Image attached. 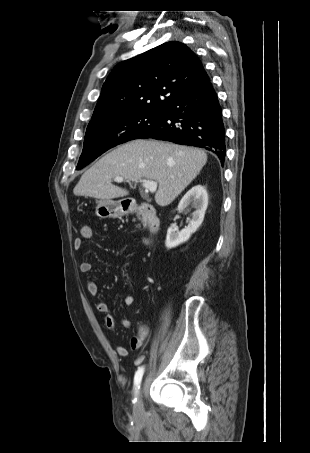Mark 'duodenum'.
I'll use <instances>...</instances> for the list:
<instances>
[{
    "mask_svg": "<svg viewBox=\"0 0 310 453\" xmlns=\"http://www.w3.org/2000/svg\"><path fill=\"white\" fill-rule=\"evenodd\" d=\"M126 212L128 214H138L146 225V228L151 234H155L160 226V220L155 209L150 204H142L140 207H129Z\"/></svg>",
    "mask_w": 310,
    "mask_h": 453,
    "instance_id": "410a0bca",
    "label": "duodenum"
}]
</instances>
